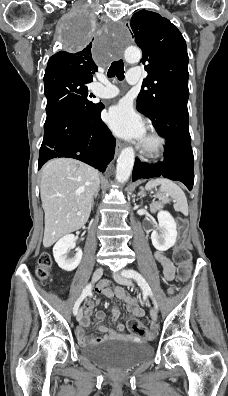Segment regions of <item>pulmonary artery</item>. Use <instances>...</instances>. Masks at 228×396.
<instances>
[{"label":"pulmonary artery","instance_id":"pulmonary-artery-1","mask_svg":"<svg viewBox=\"0 0 228 396\" xmlns=\"http://www.w3.org/2000/svg\"><path fill=\"white\" fill-rule=\"evenodd\" d=\"M127 80L130 84H136L140 80V73L137 68H132L128 71ZM99 97L109 99L118 95L119 91L116 87L110 83L102 80V84L96 90Z\"/></svg>","mask_w":228,"mask_h":396}]
</instances>
